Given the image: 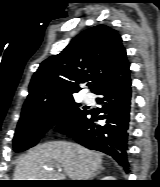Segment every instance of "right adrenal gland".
I'll return each instance as SVG.
<instances>
[{
	"label": "right adrenal gland",
	"instance_id": "obj_1",
	"mask_svg": "<svg viewBox=\"0 0 160 187\" xmlns=\"http://www.w3.org/2000/svg\"><path fill=\"white\" fill-rule=\"evenodd\" d=\"M101 170H103V168H102V167H101V168H100V170H99V171L96 173V175H97V174H99ZM96 175H95V176H96Z\"/></svg>",
	"mask_w": 160,
	"mask_h": 187
}]
</instances>
